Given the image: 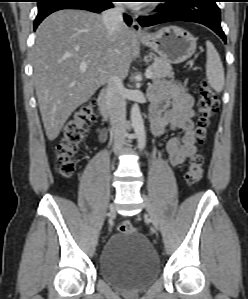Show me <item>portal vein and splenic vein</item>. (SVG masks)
Wrapping results in <instances>:
<instances>
[{"label": "portal vein and splenic vein", "mask_w": 248, "mask_h": 299, "mask_svg": "<svg viewBox=\"0 0 248 299\" xmlns=\"http://www.w3.org/2000/svg\"><path fill=\"white\" fill-rule=\"evenodd\" d=\"M86 66H87V63H86L85 61H83V62L81 63L80 68H81V69H85ZM145 76H146V78L150 79V78L152 77V71H151L150 69H147V70H146V73H145Z\"/></svg>", "instance_id": "1"}]
</instances>
